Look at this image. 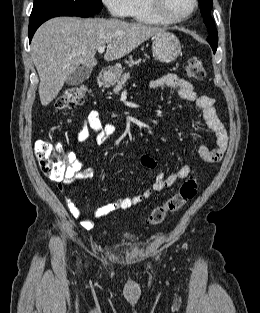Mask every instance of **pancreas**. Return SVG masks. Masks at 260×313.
<instances>
[{
	"instance_id": "obj_1",
	"label": "pancreas",
	"mask_w": 260,
	"mask_h": 313,
	"mask_svg": "<svg viewBox=\"0 0 260 313\" xmlns=\"http://www.w3.org/2000/svg\"><path fill=\"white\" fill-rule=\"evenodd\" d=\"M130 79V72L124 73L119 80H117V84L113 88V92L115 94H119L120 91L123 89L125 83Z\"/></svg>"
}]
</instances>
